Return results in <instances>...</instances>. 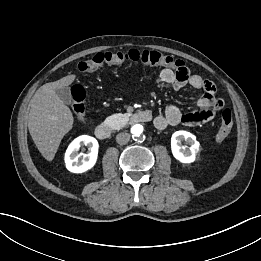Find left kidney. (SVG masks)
Instances as JSON below:
<instances>
[{"label": "left kidney", "instance_id": "1", "mask_svg": "<svg viewBox=\"0 0 261 261\" xmlns=\"http://www.w3.org/2000/svg\"><path fill=\"white\" fill-rule=\"evenodd\" d=\"M185 140L190 145L189 149L181 146ZM199 142L196 137L187 131H176L171 137V150L173 156L182 163H192L199 152Z\"/></svg>", "mask_w": 261, "mask_h": 261}]
</instances>
